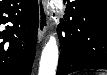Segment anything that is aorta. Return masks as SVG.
I'll return each instance as SVG.
<instances>
[{"label": "aorta", "mask_w": 107, "mask_h": 75, "mask_svg": "<svg viewBox=\"0 0 107 75\" xmlns=\"http://www.w3.org/2000/svg\"><path fill=\"white\" fill-rule=\"evenodd\" d=\"M57 63L58 46L55 37L51 36L42 51L39 75H55Z\"/></svg>", "instance_id": "1"}]
</instances>
